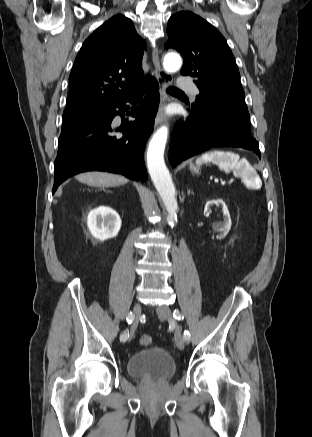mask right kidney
<instances>
[{"mask_svg": "<svg viewBox=\"0 0 312 437\" xmlns=\"http://www.w3.org/2000/svg\"><path fill=\"white\" fill-rule=\"evenodd\" d=\"M87 226L95 239L104 241L117 236L121 219L112 208L100 206L88 214Z\"/></svg>", "mask_w": 312, "mask_h": 437, "instance_id": "right-kidney-1", "label": "right kidney"}]
</instances>
